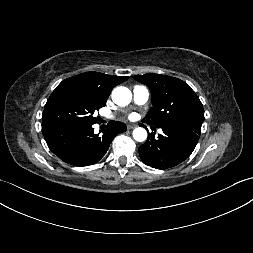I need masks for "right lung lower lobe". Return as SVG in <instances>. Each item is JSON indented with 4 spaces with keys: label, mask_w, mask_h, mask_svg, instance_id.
Instances as JSON below:
<instances>
[{
    "label": "right lung lower lobe",
    "mask_w": 253,
    "mask_h": 253,
    "mask_svg": "<svg viewBox=\"0 0 253 253\" xmlns=\"http://www.w3.org/2000/svg\"><path fill=\"white\" fill-rule=\"evenodd\" d=\"M90 125H54L42 128L49 149L74 166L93 165L105 155L113 138L127 130L119 121H110L101 135Z\"/></svg>",
    "instance_id": "obj_1"
}]
</instances>
